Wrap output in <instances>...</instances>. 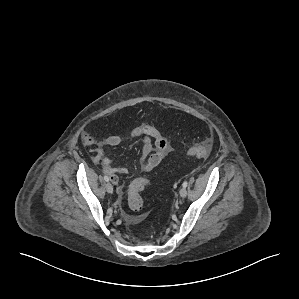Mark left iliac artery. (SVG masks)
Masks as SVG:
<instances>
[{
  "mask_svg": "<svg viewBox=\"0 0 299 299\" xmlns=\"http://www.w3.org/2000/svg\"><path fill=\"white\" fill-rule=\"evenodd\" d=\"M187 185H188V182H187V181H184L183 184H182V186H183L184 188H186Z\"/></svg>",
  "mask_w": 299,
  "mask_h": 299,
  "instance_id": "obj_1",
  "label": "left iliac artery"
}]
</instances>
